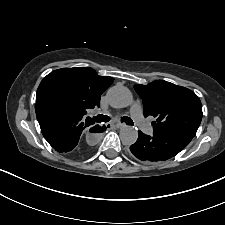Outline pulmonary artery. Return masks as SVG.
Here are the masks:
<instances>
[{
    "label": "pulmonary artery",
    "mask_w": 225,
    "mask_h": 225,
    "mask_svg": "<svg viewBox=\"0 0 225 225\" xmlns=\"http://www.w3.org/2000/svg\"><path fill=\"white\" fill-rule=\"evenodd\" d=\"M130 113H131L132 118L135 120L137 125L140 127V129L144 133H146L148 135L153 134L154 129L144 118L143 112H142V107L140 104L136 103V104L132 105V107L130 108Z\"/></svg>",
    "instance_id": "e3ab8cb5"
}]
</instances>
